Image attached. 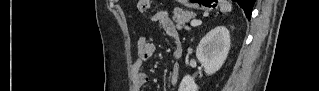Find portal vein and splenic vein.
<instances>
[{
	"mask_svg": "<svg viewBox=\"0 0 319 91\" xmlns=\"http://www.w3.org/2000/svg\"><path fill=\"white\" fill-rule=\"evenodd\" d=\"M201 24H202V22H201V21H198V20H192L191 23H190V25H191L192 27H196V26H199V25H201Z\"/></svg>",
	"mask_w": 319,
	"mask_h": 91,
	"instance_id": "1",
	"label": "portal vein and splenic vein"
}]
</instances>
